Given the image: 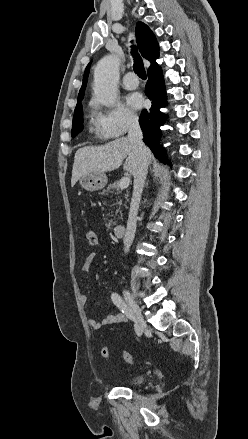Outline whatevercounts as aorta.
<instances>
[{"label":"aorta","instance_id":"aorta-1","mask_svg":"<svg viewBox=\"0 0 248 439\" xmlns=\"http://www.w3.org/2000/svg\"><path fill=\"white\" fill-rule=\"evenodd\" d=\"M119 62L114 55L103 57L94 70V93L105 106H112L117 98Z\"/></svg>","mask_w":248,"mask_h":439}]
</instances>
